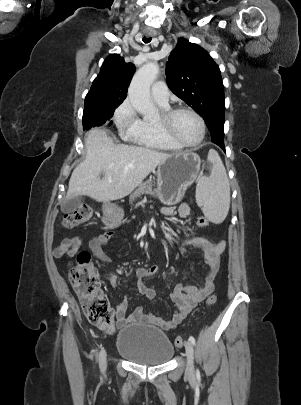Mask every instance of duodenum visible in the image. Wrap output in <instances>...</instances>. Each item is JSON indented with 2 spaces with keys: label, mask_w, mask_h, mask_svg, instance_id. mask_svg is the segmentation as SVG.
<instances>
[{
  "label": "duodenum",
  "mask_w": 301,
  "mask_h": 405,
  "mask_svg": "<svg viewBox=\"0 0 301 405\" xmlns=\"http://www.w3.org/2000/svg\"><path fill=\"white\" fill-rule=\"evenodd\" d=\"M105 204L107 205L108 203L106 202ZM107 209L109 210L110 208L108 207ZM106 215L109 217L111 214L108 212Z\"/></svg>",
  "instance_id": "410a0bca"
}]
</instances>
